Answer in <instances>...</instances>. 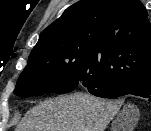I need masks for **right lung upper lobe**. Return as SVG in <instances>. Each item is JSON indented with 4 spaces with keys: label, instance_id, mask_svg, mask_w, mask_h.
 <instances>
[{
    "label": "right lung upper lobe",
    "instance_id": "1",
    "mask_svg": "<svg viewBox=\"0 0 151 131\" xmlns=\"http://www.w3.org/2000/svg\"><path fill=\"white\" fill-rule=\"evenodd\" d=\"M75 43L107 81L151 79V25L139 0H81L50 24L36 48Z\"/></svg>",
    "mask_w": 151,
    "mask_h": 131
}]
</instances>
